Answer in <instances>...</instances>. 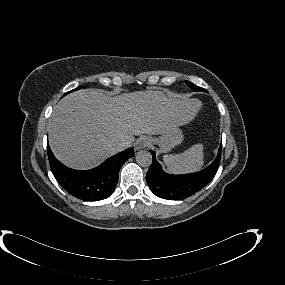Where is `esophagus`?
<instances>
[{"label":"esophagus","mask_w":285,"mask_h":285,"mask_svg":"<svg viewBox=\"0 0 285 285\" xmlns=\"http://www.w3.org/2000/svg\"><path fill=\"white\" fill-rule=\"evenodd\" d=\"M150 144H151V141L149 138L141 137L135 142L134 149L138 151V150H141L143 148L150 146Z\"/></svg>","instance_id":"obj_1"}]
</instances>
